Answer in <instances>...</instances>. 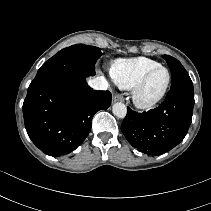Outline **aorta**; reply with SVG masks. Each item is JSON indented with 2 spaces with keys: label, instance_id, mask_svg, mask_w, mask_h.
I'll list each match as a JSON object with an SVG mask.
<instances>
[{
  "label": "aorta",
  "instance_id": "762f6f07",
  "mask_svg": "<svg viewBox=\"0 0 211 211\" xmlns=\"http://www.w3.org/2000/svg\"><path fill=\"white\" fill-rule=\"evenodd\" d=\"M113 114L116 115L119 118H124L127 113V108L125 104L118 102L115 103L112 107Z\"/></svg>",
  "mask_w": 211,
  "mask_h": 211
}]
</instances>
